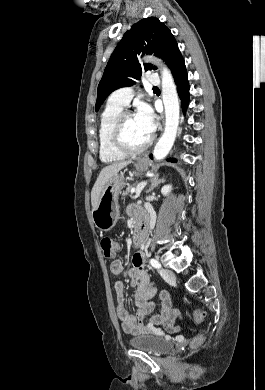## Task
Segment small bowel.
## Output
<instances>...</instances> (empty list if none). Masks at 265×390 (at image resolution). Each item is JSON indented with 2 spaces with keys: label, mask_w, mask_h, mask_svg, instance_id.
Here are the masks:
<instances>
[{
  "label": "small bowel",
  "mask_w": 265,
  "mask_h": 390,
  "mask_svg": "<svg viewBox=\"0 0 265 390\" xmlns=\"http://www.w3.org/2000/svg\"><path fill=\"white\" fill-rule=\"evenodd\" d=\"M129 214L134 219L146 218L145 211L138 206H131ZM122 245L115 243L116 251H120ZM145 255L137 252L133 255L132 266L129 270L124 268L120 259H115L110 264V271L114 275H125L130 278V283L136 287L134 296L136 315H132L127 307L124 298L125 285L122 281H117L114 289L117 295L116 313L122 328L131 334H161L163 326L169 332L179 329L175 325L177 319H181L178 309L172 307L170 295L167 291H161V314H153L155 303L153 298L157 293V288L151 280L148 272L144 269Z\"/></svg>",
  "instance_id": "small-bowel-1"
}]
</instances>
